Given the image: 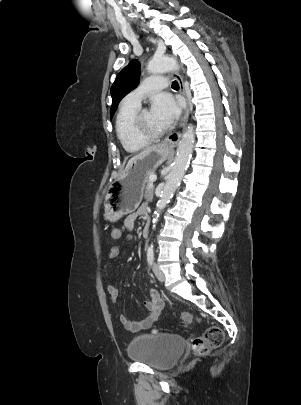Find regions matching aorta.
Here are the masks:
<instances>
[{
  "mask_svg": "<svg viewBox=\"0 0 301 405\" xmlns=\"http://www.w3.org/2000/svg\"><path fill=\"white\" fill-rule=\"evenodd\" d=\"M178 69L179 65L177 60L169 56L154 58L149 62L147 66V70L151 73H164ZM194 140V128L190 124L184 131L182 138L178 144L177 153L172 169L168 175L166 184L156 204V211L154 212L155 218H153V229H155V223L158 221L160 212L166 207V205L173 197V194L175 193L185 174L193 151Z\"/></svg>",
  "mask_w": 301,
  "mask_h": 405,
  "instance_id": "762f6f07",
  "label": "aorta"
}]
</instances>
